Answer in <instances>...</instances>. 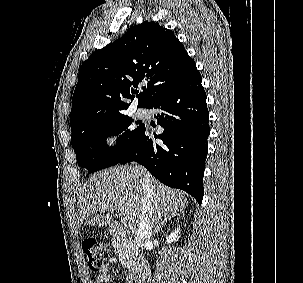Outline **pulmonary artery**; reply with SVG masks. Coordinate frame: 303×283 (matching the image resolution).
Here are the masks:
<instances>
[{
  "instance_id": "pulmonary-artery-1",
  "label": "pulmonary artery",
  "mask_w": 303,
  "mask_h": 283,
  "mask_svg": "<svg viewBox=\"0 0 303 283\" xmlns=\"http://www.w3.org/2000/svg\"><path fill=\"white\" fill-rule=\"evenodd\" d=\"M136 115H137L138 117H143V116L145 115V110H144V109H141V108L137 109V110H136Z\"/></svg>"
}]
</instances>
